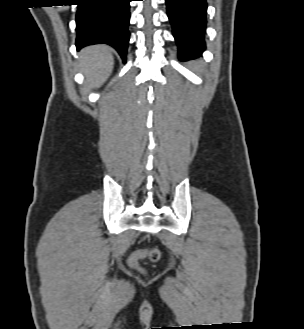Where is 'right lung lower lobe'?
Returning <instances> with one entry per match:
<instances>
[{"label": "right lung lower lobe", "mask_w": 304, "mask_h": 329, "mask_svg": "<svg viewBox=\"0 0 304 329\" xmlns=\"http://www.w3.org/2000/svg\"><path fill=\"white\" fill-rule=\"evenodd\" d=\"M76 48L105 43L114 47L123 61L129 42L131 0H77Z\"/></svg>", "instance_id": "98d812e1"}]
</instances>
